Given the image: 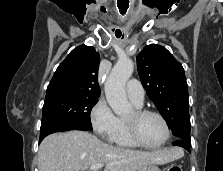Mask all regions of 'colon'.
Listing matches in <instances>:
<instances>
[{"label":"colon","mask_w":223,"mask_h":171,"mask_svg":"<svg viewBox=\"0 0 223 171\" xmlns=\"http://www.w3.org/2000/svg\"><path fill=\"white\" fill-rule=\"evenodd\" d=\"M166 171H182V169L178 165H170Z\"/></svg>","instance_id":"1"}]
</instances>
